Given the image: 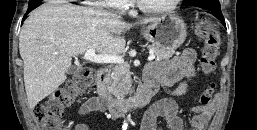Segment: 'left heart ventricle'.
Returning a JSON list of instances; mask_svg holds the SVG:
<instances>
[{"instance_id": "b2bd125f", "label": "left heart ventricle", "mask_w": 257, "mask_h": 130, "mask_svg": "<svg viewBox=\"0 0 257 130\" xmlns=\"http://www.w3.org/2000/svg\"><path fill=\"white\" fill-rule=\"evenodd\" d=\"M142 3L148 7L151 8H159L166 6L169 4L172 0H141Z\"/></svg>"}]
</instances>
